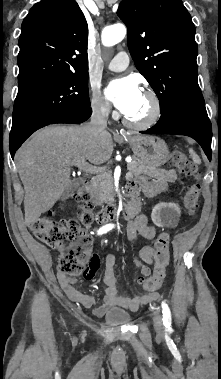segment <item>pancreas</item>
<instances>
[{
  "instance_id": "pancreas-1",
  "label": "pancreas",
  "mask_w": 221,
  "mask_h": 379,
  "mask_svg": "<svg viewBox=\"0 0 221 379\" xmlns=\"http://www.w3.org/2000/svg\"><path fill=\"white\" fill-rule=\"evenodd\" d=\"M132 176L147 175L165 182H175L177 174L175 170H165L145 164L137 158L128 164ZM91 195L101 202H112L116 195L112 173L110 170L103 171L92 183Z\"/></svg>"
}]
</instances>
